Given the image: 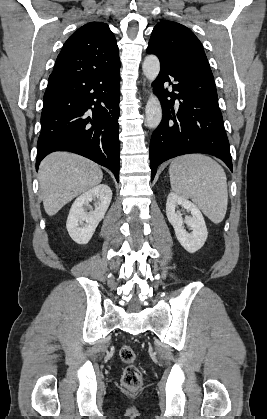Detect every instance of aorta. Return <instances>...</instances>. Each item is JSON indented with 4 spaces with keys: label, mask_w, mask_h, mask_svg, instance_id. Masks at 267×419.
Here are the masks:
<instances>
[{
    "label": "aorta",
    "mask_w": 267,
    "mask_h": 419,
    "mask_svg": "<svg viewBox=\"0 0 267 419\" xmlns=\"http://www.w3.org/2000/svg\"><path fill=\"white\" fill-rule=\"evenodd\" d=\"M143 73L148 81L153 82L160 72V62L157 56L148 55L142 65ZM146 122L150 129L158 127L162 120V108L159 99L151 94L146 104Z\"/></svg>",
    "instance_id": "1"
}]
</instances>
